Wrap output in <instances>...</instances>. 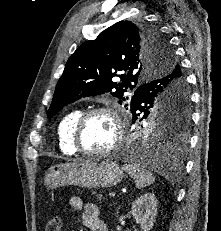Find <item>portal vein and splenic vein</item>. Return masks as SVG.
<instances>
[{"mask_svg": "<svg viewBox=\"0 0 221 231\" xmlns=\"http://www.w3.org/2000/svg\"><path fill=\"white\" fill-rule=\"evenodd\" d=\"M115 195H116V194H115L114 192L109 193V197H111V198H114Z\"/></svg>", "mask_w": 221, "mask_h": 231, "instance_id": "obj_1", "label": "portal vein and splenic vein"}]
</instances>
